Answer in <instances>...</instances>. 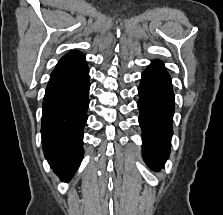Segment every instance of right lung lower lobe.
<instances>
[{
	"label": "right lung lower lobe",
	"instance_id": "98d812e1",
	"mask_svg": "<svg viewBox=\"0 0 223 215\" xmlns=\"http://www.w3.org/2000/svg\"><path fill=\"white\" fill-rule=\"evenodd\" d=\"M89 88L88 68L46 88L41 126L43 151L62 181L72 177L83 158Z\"/></svg>",
	"mask_w": 223,
	"mask_h": 215
}]
</instances>
